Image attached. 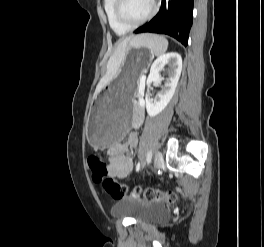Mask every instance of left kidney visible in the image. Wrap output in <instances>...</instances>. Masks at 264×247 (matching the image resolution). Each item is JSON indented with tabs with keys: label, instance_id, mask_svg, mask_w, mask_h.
I'll use <instances>...</instances> for the list:
<instances>
[{
	"label": "left kidney",
	"instance_id": "5707ae66",
	"mask_svg": "<svg viewBox=\"0 0 264 247\" xmlns=\"http://www.w3.org/2000/svg\"><path fill=\"white\" fill-rule=\"evenodd\" d=\"M168 65V79L154 100H150L146 94V110L149 116L158 115L168 105L177 87L182 70V58L178 53L171 52L159 56L151 65L150 74L147 78V87L155 81H160V72Z\"/></svg>",
	"mask_w": 264,
	"mask_h": 247
}]
</instances>
